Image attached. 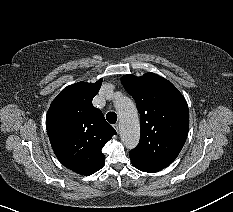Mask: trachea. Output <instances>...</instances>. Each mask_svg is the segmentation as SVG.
<instances>
[{"mask_svg":"<svg viewBox=\"0 0 233 212\" xmlns=\"http://www.w3.org/2000/svg\"><path fill=\"white\" fill-rule=\"evenodd\" d=\"M106 119L109 123L114 124L117 121V114L115 112H108Z\"/></svg>","mask_w":233,"mask_h":212,"instance_id":"obj_1","label":"trachea"}]
</instances>
